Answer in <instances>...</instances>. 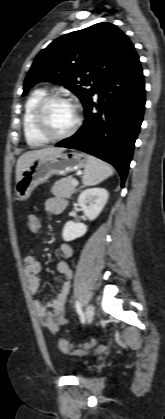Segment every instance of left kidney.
I'll return each mask as SVG.
<instances>
[{
	"label": "left kidney",
	"mask_w": 165,
	"mask_h": 419,
	"mask_svg": "<svg viewBox=\"0 0 165 419\" xmlns=\"http://www.w3.org/2000/svg\"><path fill=\"white\" fill-rule=\"evenodd\" d=\"M109 194L104 188H88L83 190L78 197V206L90 220H95L107 203ZM87 232V226L82 223L68 221L62 232L65 241H72L82 237Z\"/></svg>",
	"instance_id": "obj_1"
}]
</instances>
